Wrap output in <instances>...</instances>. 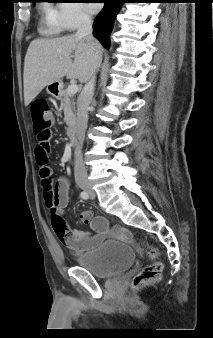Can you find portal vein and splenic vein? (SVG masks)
<instances>
[{
    "label": "portal vein and splenic vein",
    "mask_w": 213,
    "mask_h": 338,
    "mask_svg": "<svg viewBox=\"0 0 213 338\" xmlns=\"http://www.w3.org/2000/svg\"><path fill=\"white\" fill-rule=\"evenodd\" d=\"M77 91H78V86H77L76 84H71V85H69L68 88H67V92H68V94H70V95L76 94Z\"/></svg>",
    "instance_id": "obj_1"
}]
</instances>
